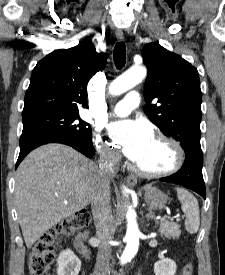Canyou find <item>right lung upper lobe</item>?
<instances>
[{
  "mask_svg": "<svg viewBox=\"0 0 225 275\" xmlns=\"http://www.w3.org/2000/svg\"><path fill=\"white\" fill-rule=\"evenodd\" d=\"M106 59L107 54L97 53L89 40L47 55L33 70L22 116L87 108V83L104 69Z\"/></svg>",
  "mask_w": 225,
  "mask_h": 275,
  "instance_id": "obj_1",
  "label": "right lung upper lobe"
}]
</instances>
